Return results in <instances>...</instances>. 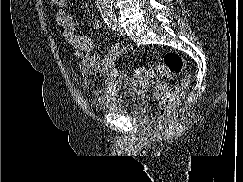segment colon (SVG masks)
<instances>
[{
  "mask_svg": "<svg viewBox=\"0 0 243 182\" xmlns=\"http://www.w3.org/2000/svg\"><path fill=\"white\" fill-rule=\"evenodd\" d=\"M70 0H52L53 4L59 8H64ZM185 62L180 54L168 51L164 54L162 63L155 68L138 67L134 70L135 76L141 81H148L155 77L178 76L184 72ZM187 79H182L179 83L173 85L168 90L161 91L157 96L158 114L164 118L170 112L174 102L182 95L187 86Z\"/></svg>",
  "mask_w": 243,
  "mask_h": 182,
  "instance_id": "5ec220e1",
  "label": "colon"
}]
</instances>
